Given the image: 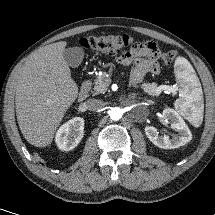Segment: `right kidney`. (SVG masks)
Instances as JSON below:
<instances>
[{
  "mask_svg": "<svg viewBox=\"0 0 215 215\" xmlns=\"http://www.w3.org/2000/svg\"><path fill=\"white\" fill-rule=\"evenodd\" d=\"M84 134V119L75 117L63 124L56 133V144L60 150L74 149Z\"/></svg>",
  "mask_w": 215,
  "mask_h": 215,
  "instance_id": "ca27d5eb",
  "label": "right kidney"
}]
</instances>
